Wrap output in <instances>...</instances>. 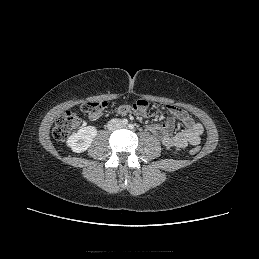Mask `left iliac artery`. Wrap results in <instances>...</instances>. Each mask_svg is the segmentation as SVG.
Instances as JSON below:
<instances>
[{
    "label": "left iliac artery",
    "instance_id": "1",
    "mask_svg": "<svg viewBox=\"0 0 259 259\" xmlns=\"http://www.w3.org/2000/svg\"><path fill=\"white\" fill-rule=\"evenodd\" d=\"M129 129H134V125L133 124H129Z\"/></svg>",
    "mask_w": 259,
    "mask_h": 259
}]
</instances>
